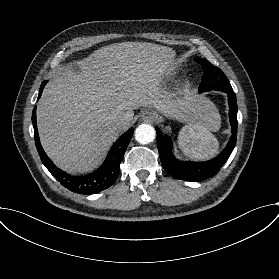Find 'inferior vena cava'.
<instances>
[{"instance_id": "obj_1", "label": "inferior vena cava", "mask_w": 279, "mask_h": 279, "mask_svg": "<svg viewBox=\"0 0 279 279\" xmlns=\"http://www.w3.org/2000/svg\"><path fill=\"white\" fill-rule=\"evenodd\" d=\"M113 121L116 122V125H117L118 129L122 126H125L129 122V120L124 116L114 118Z\"/></svg>"}]
</instances>
